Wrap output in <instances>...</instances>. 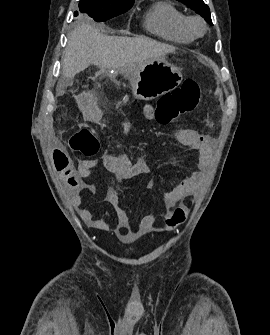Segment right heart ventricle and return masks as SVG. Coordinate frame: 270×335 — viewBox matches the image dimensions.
I'll return each instance as SVG.
<instances>
[{"label": "right heart ventricle", "instance_id": "right-heart-ventricle-1", "mask_svg": "<svg viewBox=\"0 0 270 335\" xmlns=\"http://www.w3.org/2000/svg\"><path fill=\"white\" fill-rule=\"evenodd\" d=\"M144 26L151 33L176 44H187L195 36L187 28L186 15L166 0L155 2L144 15Z\"/></svg>", "mask_w": 270, "mask_h": 335}]
</instances>
